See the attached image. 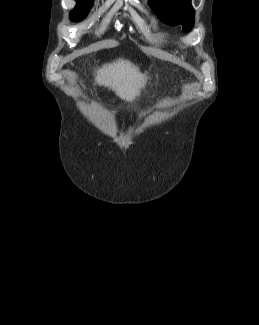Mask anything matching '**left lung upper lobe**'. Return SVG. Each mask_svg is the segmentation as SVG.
Instances as JSON below:
<instances>
[{
	"mask_svg": "<svg viewBox=\"0 0 259 325\" xmlns=\"http://www.w3.org/2000/svg\"><path fill=\"white\" fill-rule=\"evenodd\" d=\"M191 0H149V6L166 21L183 25L185 32L194 25V10Z\"/></svg>",
	"mask_w": 259,
	"mask_h": 325,
	"instance_id": "obj_1",
	"label": "left lung upper lobe"
}]
</instances>
